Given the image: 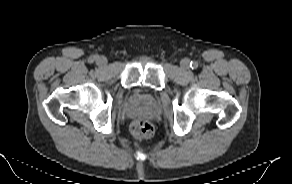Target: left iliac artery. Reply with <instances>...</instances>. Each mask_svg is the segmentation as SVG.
<instances>
[{
  "label": "left iliac artery",
  "instance_id": "1",
  "mask_svg": "<svg viewBox=\"0 0 292 184\" xmlns=\"http://www.w3.org/2000/svg\"><path fill=\"white\" fill-rule=\"evenodd\" d=\"M190 67H191L192 69H196V68L198 67V63L195 62V61H191V63H190Z\"/></svg>",
  "mask_w": 292,
  "mask_h": 184
}]
</instances>
